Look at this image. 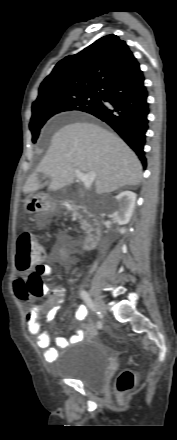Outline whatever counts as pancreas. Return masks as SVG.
Listing matches in <instances>:
<instances>
[{
  "label": "pancreas",
  "instance_id": "1",
  "mask_svg": "<svg viewBox=\"0 0 177 440\" xmlns=\"http://www.w3.org/2000/svg\"><path fill=\"white\" fill-rule=\"evenodd\" d=\"M80 224H81V228H82L83 230H85V223H84L83 221H81Z\"/></svg>",
  "mask_w": 177,
  "mask_h": 440
}]
</instances>
